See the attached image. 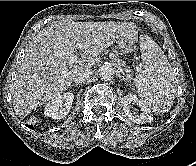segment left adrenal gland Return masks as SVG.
<instances>
[{
  "label": "left adrenal gland",
  "mask_w": 196,
  "mask_h": 166,
  "mask_svg": "<svg viewBox=\"0 0 196 166\" xmlns=\"http://www.w3.org/2000/svg\"><path fill=\"white\" fill-rule=\"evenodd\" d=\"M121 79H123L124 81H128L126 78H124L123 76H120Z\"/></svg>",
  "instance_id": "1"
}]
</instances>
